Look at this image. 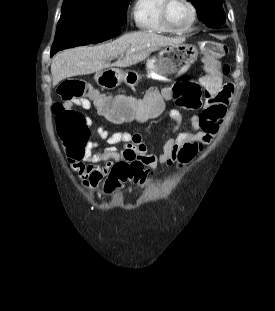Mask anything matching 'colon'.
Listing matches in <instances>:
<instances>
[{
    "label": "colon",
    "mask_w": 275,
    "mask_h": 311,
    "mask_svg": "<svg viewBox=\"0 0 275 311\" xmlns=\"http://www.w3.org/2000/svg\"><path fill=\"white\" fill-rule=\"evenodd\" d=\"M206 55L208 71L220 70L229 73V66H219V59L226 54L227 48L217 41H205L201 45ZM61 99L72 104H90L97 101L101 117L112 125H133L135 121H158L165 111L163 99L173 100L176 104L196 105L202 102V87L193 80L182 81L167 87L162 92H146V97H98L95 89L81 79L69 78L59 86ZM56 130L59 138L72 157H78L85 147L89 136L86 117L79 111L56 104L53 108ZM197 144H186L179 155L182 163L191 161L198 153ZM150 179L144 165L138 161L119 162L114 165L106 182L107 192L113 191L129 182L136 186L145 185Z\"/></svg>",
    "instance_id": "1"
}]
</instances>
